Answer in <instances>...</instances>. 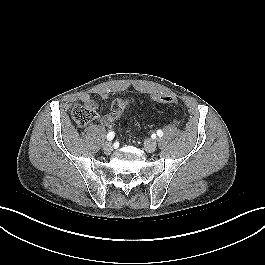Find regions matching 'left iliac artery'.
Returning <instances> with one entry per match:
<instances>
[{"label":"left iliac artery","instance_id":"44dca946","mask_svg":"<svg viewBox=\"0 0 265 265\" xmlns=\"http://www.w3.org/2000/svg\"><path fill=\"white\" fill-rule=\"evenodd\" d=\"M157 135H158L159 137H162V136H163V132H162L161 130H158V131H157Z\"/></svg>","mask_w":265,"mask_h":265}]
</instances>
